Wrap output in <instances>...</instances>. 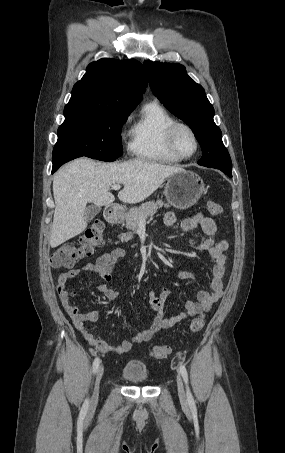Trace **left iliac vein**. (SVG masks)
Returning a JSON list of instances; mask_svg holds the SVG:
<instances>
[{"instance_id": "1", "label": "left iliac vein", "mask_w": 285, "mask_h": 453, "mask_svg": "<svg viewBox=\"0 0 285 453\" xmlns=\"http://www.w3.org/2000/svg\"><path fill=\"white\" fill-rule=\"evenodd\" d=\"M176 382H177V390H178L179 399L182 404H186L187 398H186V394H185V390H184L183 381H182V378L180 375H177Z\"/></svg>"}]
</instances>
